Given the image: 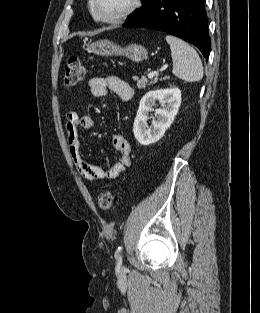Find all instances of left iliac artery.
Masks as SVG:
<instances>
[{
  "mask_svg": "<svg viewBox=\"0 0 260 313\" xmlns=\"http://www.w3.org/2000/svg\"><path fill=\"white\" fill-rule=\"evenodd\" d=\"M122 246H119L116 250V253H115V256L118 258V260H122V256H121V253H122Z\"/></svg>",
  "mask_w": 260,
  "mask_h": 313,
  "instance_id": "obj_1",
  "label": "left iliac artery"
}]
</instances>
